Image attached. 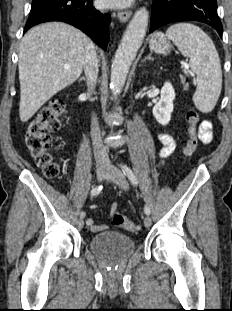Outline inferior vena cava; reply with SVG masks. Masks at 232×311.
Returning a JSON list of instances; mask_svg holds the SVG:
<instances>
[{"label":"inferior vena cava","instance_id":"inferior-vena-cava-1","mask_svg":"<svg viewBox=\"0 0 232 311\" xmlns=\"http://www.w3.org/2000/svg\"><path fill=\"white\" fill-rule=\"evenodd\" d=\"M99 65L94 44L91 42L86 50L84 61V72L87 78L88 94L94 92L98 77ZM91 136L94 149V156L97 166H110L108 153L103 146L101 133L97 119L93 116L91 122Z\"/></svg>","mask_w":232,"mask_h":311}]
</instances>
